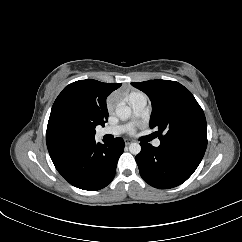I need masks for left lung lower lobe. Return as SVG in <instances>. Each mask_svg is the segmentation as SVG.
Segmentation results:
<instances>
[{"label": "left lung lower lobe", "mask_w": 242, "mask_h": 242, "mask_svg": "<svg viewBox=\"0 0 242 242\" xmlns=\"http://www.w3.org/2000/svg\"><path fill=\"white\" fill-rule=\"evenodd\" d=\"M140 145L141 152L135 159L141 177L159 189L173 188L185 182L205 153L199 149L172 147L162 143L159 147L143 142Z\"/></svg>", "instance_id": "0a47b994"}]
</instances>
